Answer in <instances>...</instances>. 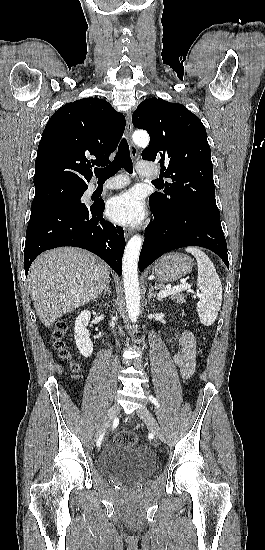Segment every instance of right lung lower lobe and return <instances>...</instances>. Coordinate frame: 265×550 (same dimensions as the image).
<instances>
[{"instance_id": "98d812e1", "label": "right lung lower lobe", "mask_w": 265, "mask_h": 550, "mask_svg": "<svg viewBox=\"0 0 265 550\" xmlns=\"http://www.w3.org/2000/svg\"><path fill=\"white\" fill-rule=\"evenodd\" d=\"M103 211L101 200L91 206L59 207L31 214L24 251L26 275L31 263L43 251L74 246L95 253L120 276L124 230L104 220Z\"/></svg>"}]
</instances>
